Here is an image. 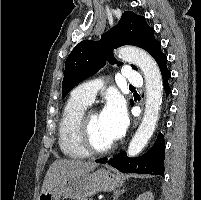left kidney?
Segmentation results:
<instances>
[{
    "label": "left kidney",
    "mask_w": 201,
    "mask_h": 200,
    "mask_svg": "<svg viewBox=\"0 0 201 200\" xmlns=\"http://www.w3.org/2000/svg\"><path fill=\"white\" fill-rule=\"evenodd\" d=\"M136 200H154V196L152 192L148 191L139 195V197H137Z\"/></svg>",
    "instance_id": "left-kidney-1"
}]
</instances>
